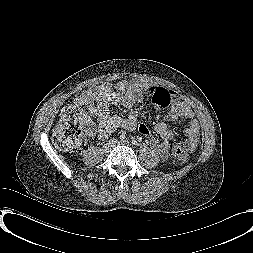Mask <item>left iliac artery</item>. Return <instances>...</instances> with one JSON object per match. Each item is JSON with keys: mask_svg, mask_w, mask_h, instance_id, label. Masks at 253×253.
Masks as SVG:
<instances>
[{"mask_svg": "<svg viewBox=\"0 0 253 253\" xmlns=\"http://www.w3.org/2000/svg\"><path fill=\"white\" fill-rule=\"evenodd\" d=\"M132 144L133 145H138L137 141H135V140L132 141Z\"/></svg>", "mask_w": 253, "mask_h": 253, "instance_id": "obj_1", "label": "left iliac artery"}]
</instances>
